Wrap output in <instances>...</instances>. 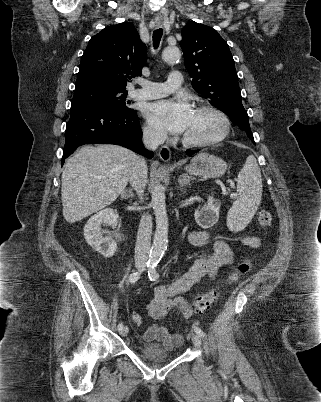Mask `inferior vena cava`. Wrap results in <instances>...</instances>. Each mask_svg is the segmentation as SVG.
<instances>
[{
    "mask_svg": "<svg viewBox=\"0 0 321 402\" xmlns=\"http://www.w3.org/2000/svg\"><path fill=\"white\" fill-rule=\"evenodd\" d=\"M166 139V133L163 131L146 128L143 131V143L146 148L155 151L157 147ZM147 183V165L143 158H139L137 164L134 166L131 176L130 184L136 190L137 194L142 198L145 186ZM152 234V217L149 214H144L141 217L139 229L137 233V240L135 245V264L138 267H145L151 243Z\"/></svg>",
    "mask_w": 321,
    "mask_h": 402,
    "instance_id": "1",
    "label": "inferior vena cava"
}]
</instances>
